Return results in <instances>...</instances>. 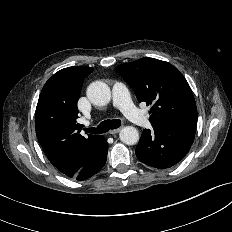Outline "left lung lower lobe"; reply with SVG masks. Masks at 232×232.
I'll return each instance as SVG.
<instances>
[{"label":"left lung lower lobe","instance_id":"1","mask_svg":"<svg viewBox=\"0 0 232 232\" xmlns=\"http://www.w3.org/2000/svg\"><path fill=\"white\" fill-rule=\"evenodd\" d=\"M195 129L183 127H155L144 129L136 146L137 158L157 169L176 165L187 154L194 141Z\"/></svg>","mask_w":232,"mask_h":232}]
</instances>
